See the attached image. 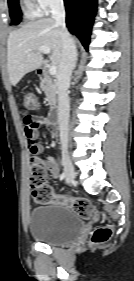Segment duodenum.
<instances>
[{
	"mask_svg": "<svg viewBox=\"0 0 134 281\" xmlns=\"http://www.w3.org/2000/svg\"><path fill=\"white\" fill-rule=\"evenodd\" d=\"M37 73H38L39 77L41 79H43L46 77L47 71L44 67H39L37 69ZM59 119H60L59 110L55 109L52 112H50L47 121L50 125L56 126L59 123Z\"/></svg>",
	"mask_w": 134,
	"mask_h": 281,
	"instance_id": "obj_1",
	"label": "duodenum"
}]
</instances>
